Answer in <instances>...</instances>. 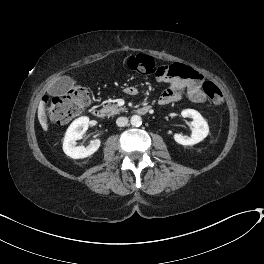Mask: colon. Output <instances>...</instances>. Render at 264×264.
<instances>
[{
  "mask_svg": "<svg viewBox=\"0 0 264 264\" xmlns=\"http://www.w3.org/2000/svg\"><path fill=\"white\" fill-rule=\"evenodd\" d=\"M125 68L145 75H156L165 78L172 75L171 67L159 65L147 55H129L122 60ZM203 91L210 102L219 106L223 102V94L220 88L212 81H205ZM90 102V90L83 84H77L63 97H45L43 106L47 117L58 124H65L79 116Z\"/></svg>",
  "mask_w": 264,
  "mask_h": 264,
  "instance_id": "5ec220e1",
  "label": "colon"
}]
</instances>
